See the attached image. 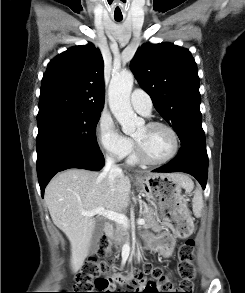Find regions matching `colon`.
I'll return each mask as SVG.
<instances>
[{
  "mask_svg": "<svg viewBox=\"0 0 245 293\" xmlns=\"http://www.w3.org/2000/svg\"><path fill=\"white\" fill-rule=\"evenodd\" d=\"M191 227L192 220L186 215L174 223L172 231L178 236H183L190 232ZM194 246L193 240H188L180 246L178 250L180 281L167 284L165 290L169 292L166 293H193ZM114 251L111 241L107 237H102L99 242L98 258L84 264L76 276V286L82 291L80 293H111L115 282H122L128 288L144 287L143 293H154L157 290L156 285L164 279L165 271L162 267L150 263L142 264L139 269H130L120 277H108L111 269L116 265L113 258ZM147 278L152 280V284L145 282Z\"/></svg>",
  "mask_w": 245,
  "mask_h": 293,
  "instance_id": "obj_1",
  "label": "colon"
}]
</instances>
